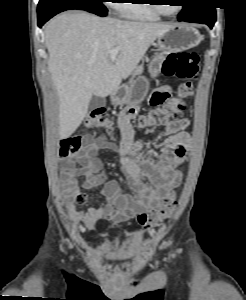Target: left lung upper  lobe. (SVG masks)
Returning a JSON list of instances; mask_svg holds the SVG:
<instances>
[{
	"label": "left lung upper lobe",
	"instance_id": "obj_1",
	"mask_svg": "<svg viewBox=\"0 0 246 300\" xmlns=\"http://www.w3.org/2000/svg\"><path fill=\"white\" fill-rule=\"evenodd\" d=\"M187 3L188 5L183 6L181 13H179V17L189 16L210 6V0H187Z\"/></svg>",
	"mask_w": 246,
	"mask_h": 300
}]
</instances>
